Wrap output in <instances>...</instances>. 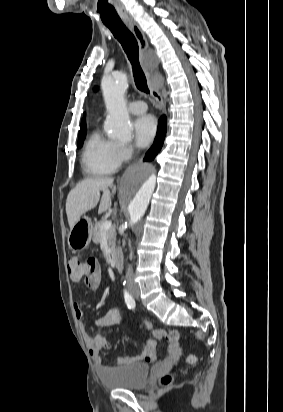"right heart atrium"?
Wrapping results in <instances>:
<instances>
[{
	"mask_svg": "<svg viewBox=\"0 0 283 412\" xmlns=\"http://www.w3.org/2000/svg\"><path fill=\"white\" fill-rule=\"evenodd\" d=\"M134 148L131 145L123 144L119 145V156L121 161H127L133 155Z\"/></svg>",
	"mask_w": 283,
	"mask_h": 412,
	"instance_id": "1",
	"label": "right heart atrium"
}]
</instances>
